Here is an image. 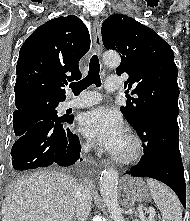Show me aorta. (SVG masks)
Masks as SVG:
<instances>
[{
    "instance_id": "obj_1",
    "label": "aorta",
    "mask_w": 190,
    "mask_h": 221,
    "mask_svg": "<svg viewBox=\"0 0 190 221\" xmlns=\"http://www.w3.org/2000/svg\"><path fill=\"white\" fill-rule=\"evenodd\" d=\"M107 66L116 67L120 64L117 53H107L103 56ZM118 172L114 168L105 169L100 177V192L113 221H125L118 203Z\"/></svg>"
}]
</instances>
